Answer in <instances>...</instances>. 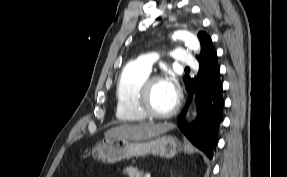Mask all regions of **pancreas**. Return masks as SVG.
Here are the masks:
<instances>
[{"mask_svg":"<svg viewBox=\"0 0 287 177\" xmlns=\"http://www.w3.org/2000/svg\"><path fill=\"white\" fill-rule=\"evenodd\" d=\"M123 172L128 176V177H145L144 172L142 170H138L135 167H127L123 170Z\"/></svg>","mask_w":287,"mask_h":177,"instance_id":"pancreas-1","label":"pancreas"}]
</instances>
